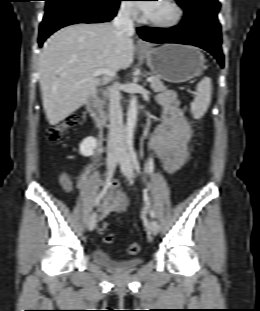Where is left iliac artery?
I'll return each instance as SVG.
<instances>
[{
	"label": "left iliac artery",
	"instance_id": "44dca946",
	"mask_svg": "<svg viewBox=\"0 0 260 311\" xmlns=\"http://www.w3.org/2000/svg\"><path fill=\"white\" fill-rule=\"evenodd\" d=\"M128 149H129V152L131 155V159H132L134 168L136 169L138 174H141V168H140V164H139V161L137 158V154H136L134 146H133V142L128 143ZM146 204L149 205L148 198H146ZM150 215L152 218H156V214L152 209L150 210Z\"/></svg>",
	"mask_w": 260,
	"mask_h": 311
}]
</instances>
